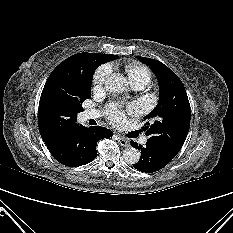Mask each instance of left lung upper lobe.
Wrapping results in <instances>:
<instances>
[{"mask_svg":"<svg viewBox=\"0 0 233 233\" xmlns=\"http://www.w3.org/2000/svg\"><path fill=\"white\" fill-rule=\"evenodd\" d=\"M137 58L154 72L160 91L156 108L144 118L148 122L143 130L149 136L148 141L176 156L190 128L191 111L186 90L179 77L162 62Z\"/></svg>","mask_w":233,"mask_h":233,"instance_id":"1","label":"left lung upper lobe"}]
</instances>
